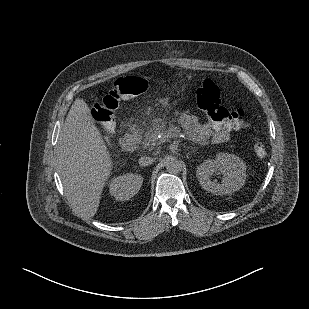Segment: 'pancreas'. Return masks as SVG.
I'll list each match as a JSON object with an SVG mask.
<instances>
[{
	"label": "pancreas",
	"instance_id": "1",
	"mask_svg": "<svg viewBox=\"0 0 309 309\" xmlns=\"http://www.w3.org/2000/svg\"><path fill=\"white\" fill-rule=\"evenodd\" d=\"M164 133L163 129L153 128L144 132L140 138L141 144L145 149L158 150L163 139H158L160 133Z\"/></svg>",
	"mask_w": 309,
	"mask_h": 309
}]
</instances>
